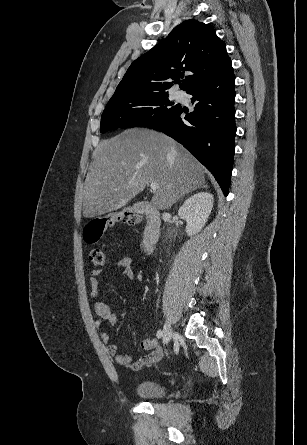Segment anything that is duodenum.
<instances>
[{"instance_id": "410a0bca", "label": "duodenum", "mask_w": 307, "mask_h": 445, "mask_svg": "<svg viewBox=\"0 0 307 445\" xmlns=\"http://www.w3.org/2000/svg\"><path fill=\"white\" fill-rule=\"evenodd\" d=\"M134 210L142 214L146 219V226L142 238V249L144 252L149 253L153 250L161 233L160 213L147 202L136 204Z\"/></svg>"}]
</instances>
